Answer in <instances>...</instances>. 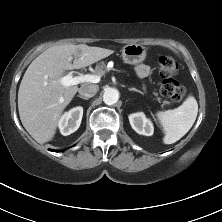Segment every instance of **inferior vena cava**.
I'll list each match as a JSON object with an SVG mask.
<instances>
[{
  "mask_svg": "<svg viewBox=\"0 0 222 222\" xmlns=\"http://www.w3.org/2000/svg\"><path fill=\"white\" fill-rule=\"evenodd\" d=\"M79 94L85 98H91L93 97L97 91H98V86L97 85H92V84H83L79 88Z\"/></svg>",
  "mask_w": 222,
  "mask_h": 222,
  "instance_id": "602c4592",
  "label": "inferior vena cava"
}]
</instances>
